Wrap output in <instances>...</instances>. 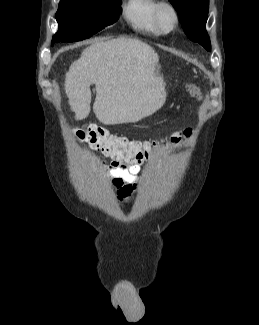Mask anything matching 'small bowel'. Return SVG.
Listing matches in <instances>:
<instances>
[{"label": "small bowel", "instance_id": "obj_1", "mask_svg": "<svg viewBox=\"0 0 259 325\" xmlns=\"http://www.w3.org/2000/svg\"><path fill=\"white\" fill-rule=\"evenodd\" d=\"M142 163L112 160L104 164L111 186L117 190L118 200L127 202L138 188V177L142 174Z\"/></svg>", "mask_w": 259, "mask_h": 325}]
</instances>
